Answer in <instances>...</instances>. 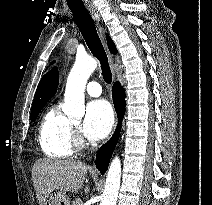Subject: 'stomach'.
<instances>
[{"label": "stomach", "mask_w": 212, "mask_h": 205, "mask_svg": "<svg viewBox=\"0 0 212 205\" xmlns=\"http://www.w3.org/2000/svg\"><path fill=\"white\" fill-rule=\"evenodd\" d=\"M49 205H70V200L65 192L59 191L51 195Z\"/></svg>", "instance_id": "obj_1"}]
</instances>
